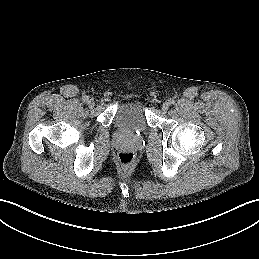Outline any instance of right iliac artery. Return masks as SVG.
<instances>
[{
  "label": "right iliac artery",
  "instance_id": "1",
  "mask_svg": "<svg viewBox=\"0 0 259 259\" xmlns=\"http://www.w3.org/2000/svg\"><path fill=\"white\" fill-rule=\"evenodd\" d=\"M82 100H83L84 103H87L88 100H89V98H88V96H84V97L82 98Z\"/></svg>",
  "mask_w": 259,
  "mask_h": 259
}]
</instances>
